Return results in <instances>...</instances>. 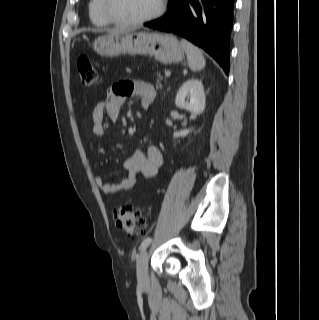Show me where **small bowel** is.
I'll return each instance as SVG.
<instances>
[{"label": "small bowel", "mask_w": 319, "mask_h": 320, "mask_svg": "<svg viewBox=\"0 0 319 320\" xmlns=\"http://www.w3.org/2000/svg\"><path fill=\"white\" fill-rule=\"evenodd\" d=\"M131 96L139 99L143 111H148L155 101L156 90L153 85L140 81L120 80L115 82L108 89L107 97L99 101L92 110V136L97 138L104 136L103 120L105 115L111 121L117 122L122 104ZM162 162L160 150L155 146H149L146 152L137 150L124 161L127 176L120 182L109 183L102 176H96L95 182L100 190L107 195L127 191L135 186L139 175L144 178L155 177Z\"/></svg>", "instance_id": "c3829d8e"}]
</instances>
